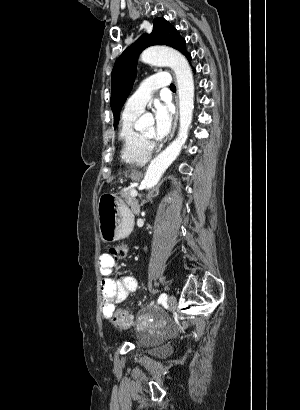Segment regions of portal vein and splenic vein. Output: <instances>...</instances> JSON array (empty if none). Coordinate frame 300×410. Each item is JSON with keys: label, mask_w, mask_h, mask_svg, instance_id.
I'll use <instances>...</instances> for the list:
<instances>
[{"label": "portal vein and splenic vein", "mask_w": 300, "mask_h": 410, "mask_svg": "<svg viewBox=\"0 0 300 410\" xmlns=\"http://www.w3.org/2000/svg\"><path fill=\"white\" fill-rule=\"evenodd\" d=\"M130 195H131L132 197H135V196L138 195V192L133 189V190H131Z\"/></svg>", "instance_id": "portal-vein-and-splenic-vein-1"}]
</instances>
